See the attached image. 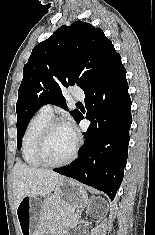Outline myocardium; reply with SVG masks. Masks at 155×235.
<instances>
[{
	"label": "myocardium",
	"mask_w": 155,
	"mask_h": 235,
	"mask_svg": "<svg viewBox=\"0 0 155 235\" xmlns=\"http://www.w3.org/2000/svg\"><path fill=\"white\" fill-rule=\"evenodd\" d=\"M59 125L67 126V124L61 119H58V118L51 119L45 125V127L43 128V130L39 136L37 146H36V156H37L38 160L42 163V165H45L48 167L65 166V165L71 163L77 155V152H78L79 146H80V140H79L78 136H75V145H74L70 155L67 158H65L64 160H61V161H57V162L50 161L47 158L45 150H46V145H47L49 136H50L52 130L56 126H59Z\"/></svg>",
	"instance_id": "f54148a6"
}]
</instances>
